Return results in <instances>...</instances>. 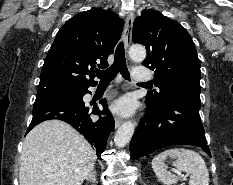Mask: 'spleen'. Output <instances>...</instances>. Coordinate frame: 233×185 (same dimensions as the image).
I'll list each match as a JSON object with an SVG mask.
<instances>
[{"label":"spleen","instance_id":"obj_1","mask_svg":"<svg viewBox=\"0 0 233 185\" xmlns=\"http://www.w3.org/2000/svg\"><path fill=\"white\" fill-rule=\"evenodd\" d=\"M167 157L175 159L173 165L178 170L190 174L189 185H209V173L204 159L199 153L185 148H171L153 158L152 168L164 185L175 184L178 180L167 171L165 165Z\"/></svg>","mask_w":233,"mask_h":185}]
</instances>
